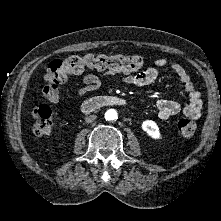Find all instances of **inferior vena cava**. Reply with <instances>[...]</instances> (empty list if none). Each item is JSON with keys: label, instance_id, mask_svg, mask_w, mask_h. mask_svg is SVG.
Here are the masks:
<instances>
[{"label": "inferior vena cava", "instance_id": "1", "mask_svg": "<svg viewBox=\"0 0 221 221\" xmlns=\"http://www.w3.org/2000/svg\"><path fill=\"white\" fill-rule=\"evenodd\" d=\"M97 117L95 115H89L85 117V122L86 123H92Z\"/></svg>", "mask_w": 221, "mask_h": 221}]
</instances>
